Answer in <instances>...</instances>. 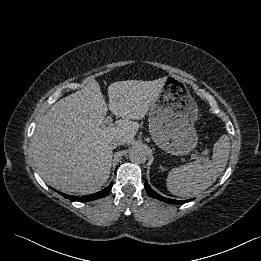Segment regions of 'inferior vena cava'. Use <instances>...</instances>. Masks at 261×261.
I'll list each match as a JSON object with an SVG mask.
<instances>
[{
    "mask_svg": "<svg viewBox=\"0 0 261 261\" xmlns=\"http://www.w3.org/2000/svg\"><path fill=\"white\" fill-rule=\"evenodd\" d=\"M123 143H124V140L120 137H117L111 141V146H112V148H115L116 146L121 145Z\"/></svg>",
    "mask_w": 261,
    "mask_h": 261,
    "instance_id": "602c4592",
    "label": "inferior vena cava"
}]
</instances>
